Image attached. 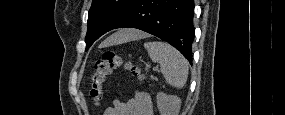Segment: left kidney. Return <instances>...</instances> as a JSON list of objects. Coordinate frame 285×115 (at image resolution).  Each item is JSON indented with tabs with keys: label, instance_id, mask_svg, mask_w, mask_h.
<instances>
[{
	"label": "left kidney",
	"instance_id": "1",
	"mask_svg": "<svg viewBox=\"0 0 285 115\" xmlns=\"http://www.w3.org/2000/svg\"><path fill=\"white\" fill-rule=\"evenodd\" d=\"M156 100L161 115H178L181 105L179 97L159 92Z\"/></svg>",
	"mask_w": 285,
	"mask_h": 115
}]
</instances>
